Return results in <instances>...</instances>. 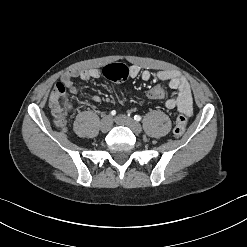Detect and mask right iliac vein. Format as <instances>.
I'll use <instances>...</instances> for the list:
<instances>
[{
  "mask_svg": "<svg viewBox=\"0 0 247 247\" xmlns=\"http://www.w3.org/2000/svg\"><path fill=\"white\" fill-rule=\"evenodd\" d=\"M112 127V118L109 115L104 116L100 122V129L102 132H108Z\"/></svg>",
  "mask_w": 247,
  "mask_h": 247,
  "instance_id": "1",
  "label": "right iliac vein"
}]
</instances>
